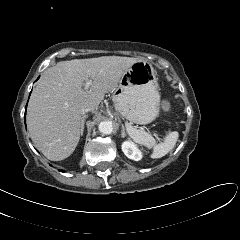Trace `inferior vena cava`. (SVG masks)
Segmentation results:
<instances>
[{
  "label": "inferior vena cava",
  "instance_id": "602c4592",
  "mask_svg": "<svg viewBox=\"0 0 240 240\" xmlns=\"http://www.w3.org/2000/svg\"><path fill=\"white\" fill-rule=\"evenodd\" d=\"M90 111H92L91 107H83L81 109V114H85V113L90 112Z\"/></svg>",
  "mask_w": 240,
  "mask_h": 240
}]
</instances>
